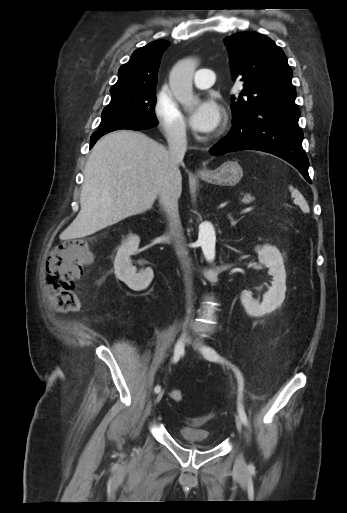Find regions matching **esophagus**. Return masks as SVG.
Masks as SVG:
<instances>
[{"instance_id": "esophagus-1", "label": "esophagus", "mask_w": 347, "mask_h": 513, "mask_svg": "<svg viewBox=\"0 0 347 513\" xmlns=\"http://www.w3.org/2000/svg\"><path fill=\"white\" fill-rule=\"evenodd\" d=\"M198 173H199L200 175H203V174H205V173H206V170H205V169H201V170H199V171H198Z\"/></svg>"}]
</instances>
